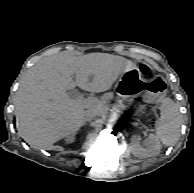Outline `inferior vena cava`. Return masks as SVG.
Returning a JSON list of instances; mask_svg holds the SVG:
<instances>
[{
    "mask_svg": "<svg viewBox=\"0 0 194 193\" xmlns=\"http://www.w3.org/2000/svg\"><path fill=\"white\" fill-rule=\"evenodd\" d=\"M97 115H99V109H88L85 114L86 120L89 121Z\"/></svg>",
    "mask_w": 194,
    "mask_h": 193,
    "instance_id": "obj_1",
    "label": "inferior vena cava"
}]
</instances>
